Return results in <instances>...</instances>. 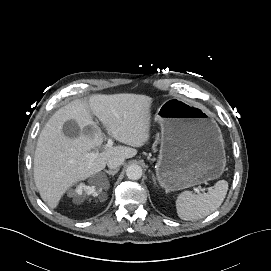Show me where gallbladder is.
Instances as JSON below:
<instances>
[{
	"label": "gallbladder",
	"instance_id": "obj_1",
	"mask_svg": "<svg viewBox=\"0 0 271 271\" xmlns=\"http://www.w3.org/2000/svg\"><path fill=\"white\" fill-rule=\"evenodd\" d=\"M92 127L88 126L85 128V133H89L91 132ZM63 133L69 137V138H75L78 137L80 134V128L78 126V124L73 121V120H68L65 122L64 126H63Z\"/></svg>",
	"mask_w": 271,
	"mask_h": 271
}]
</instances>
